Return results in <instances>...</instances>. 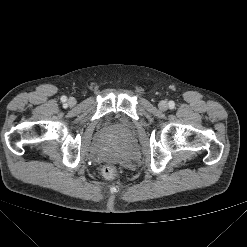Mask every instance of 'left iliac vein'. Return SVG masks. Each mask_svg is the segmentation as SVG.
I'll return each instance as SVG.
<instances>
[{"instance_id":"left-iliac-vein-1","label":"left iliac vein","mask_w":247,"mask_h":247,"mask_svg":"<svg viewBox=\"0 0 247 247\" xmlns=\"http://www.w3.org/2000/svg\"><path fill=\"white\" fill-rule=\"evenodd\" d=\"M158 107L162 111H166L168 109V103L164 100L160 101Z\"/></svg>"}]
</instances>
